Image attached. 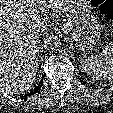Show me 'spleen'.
<instances>
[{"label":"spleen","mask_w":113,"mask_h":113,"mask_svg":"<svg viewBox=\"0 0 113 113\" xmlns=\"http://www.w3.org/2000/svg\"><path fill=\"white\" fill-rule=\"evenodd\" d=\"M85 73L93 80L113 79V41L103 47L100 54L83 57L80 60Z\"/></svg>","instance_id":"1"}]
</instances>
